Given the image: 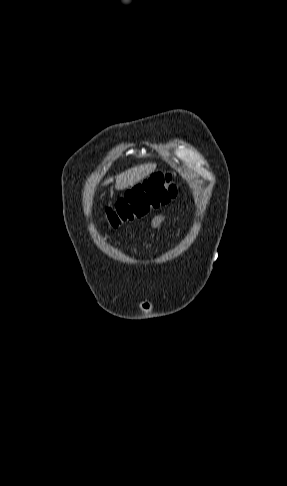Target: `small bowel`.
<instances>
[{
	"label": "small bowel",
	"instance_id": "c3829d8e",
	"mask_svg": "<svg viewBox=\"0 0 287 486\" xmlns=\"http://www.w3.org/2000/svg\"><path fill=\"white\" fill-rule=\"evenodd\" d=\"M167 216L166 215H156L152 218L150 222V226L152 229H158L164 222H166Z\"/></svg>",
	"mask_w": 287,
	"mask_h": 486
}]
</instances>
